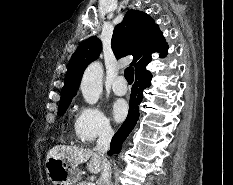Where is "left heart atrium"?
<instances>
[{
  "mask_svg": "<svg viewBox=\"0 0 233 185\" xmlns=\"http://www.w3.org/2000/svg\"><path fill=\"white\" fill-rule=\"evenodd\" d=\"M127 111H128V106L124 100L117 99L113 102L111 112H112L113 118L116 121L123 120L125 116L127 115Z\"/></svg>",
  "mask_w": 233,
  "mask_h": 185,
  "instance_id": "1",
  "label": "left heart atrium"
}]
</instances>
